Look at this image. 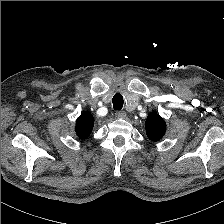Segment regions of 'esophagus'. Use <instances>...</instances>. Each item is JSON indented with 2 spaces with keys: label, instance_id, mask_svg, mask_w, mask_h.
<instances>
[{
  "label": "esophagus",
  "instance_id": "34e87169",
  "mask_svg": "<svg viewBox=\"0 0 224 224\" xmlns=\"http://www.w3.org/2000/svg\"><path fill=\"white\" fill-rule=\"evenodd\" d=\"M115 115L118 119H124L126 117V112L125 111H117Z\"/></svg>",
  "mask_w": 224,
  "mask_h": 224
}]
</instances>
